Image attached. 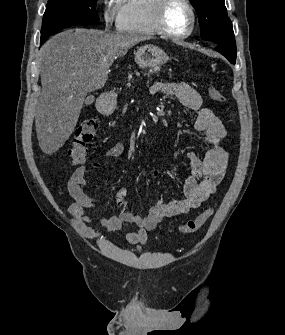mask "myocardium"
Instances as JSON below:
<instances>
[{
  "label": "myocardium",
  "instance_id": "1",
  "mask_svg": "<svg viewBox=\"0 0 285 335\" xmlns=\"http://www.w3.org/2000/svg\"><path fill=\"white\" fill-rule=\"evenodd\" d=\"M174 3H181L183 4L186 9L188 10L191 21L186 30H173L167 22V14L168 10L171 7L172 4ZM157 23L160 31L162 32L163 35L169 37V38H183L189 35L194 27L195 24V15L193 8L190 4L189 1H159L158 5V12H157Z\"/></svg>",
  "mask_w": 285,
  "mask_h": 335
}]
</instances>
